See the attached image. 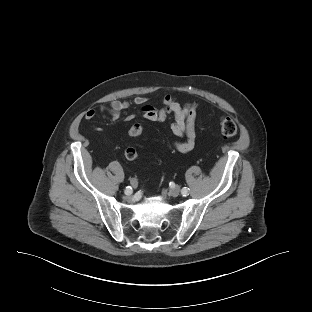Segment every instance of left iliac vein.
I'll return each instance as SVG.
<instances>
[{
    "instance_id": "obj_1",
    "label": "left iliac vein",
    "mask_w": 312,
    "mask_h": 312,
    "mask_svg": "<svg viewBox=\"0 0 312 312\" xmlns=\"http://www.w3.org/2000/svg\"><path fill=\"white\" fill-rule=\"evenodd\" d=\"M180 194V188L175 186L170 189V195L172 197H177Z\"/></svg>"
}]
</instances>
